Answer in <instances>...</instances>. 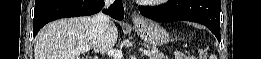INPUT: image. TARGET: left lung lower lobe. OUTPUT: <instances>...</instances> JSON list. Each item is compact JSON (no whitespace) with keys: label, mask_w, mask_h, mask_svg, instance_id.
Masks as SVG:
<instances>
[{"label":"left lung lower lobe","mask_w":261,"mask_h":59,"mask_svg":"<svg viewBox=\"0 0 261 59\" xmlns=\"http://www.w3.org/2000/svg\"><path fill=\"white\" fill-rule=\"evenodd\" d=\"M220 0H169L161 7L139 6L140 13L152 20H186L208 27L220 42Z\"/></svg>","instance_id":"left-lung-lower-lobe-1"}]
</instances>
